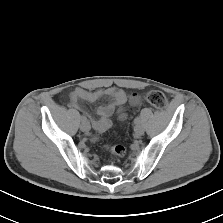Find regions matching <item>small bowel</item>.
I'll list each match as a JSON object with an SVG mask.
<instances>
[{
	"mask_svg": "<svg viewBox=\"0 0 223 223\" xmlns=\"http://www.w3.org/2000/svg\"><path fill=\"white\" fill-rule=\"evenodd\" d=\"M102 98L108 99L109 103L97 108V115L99 116V118L95 119L89 112H87L83 108L82 103L85 101L95 102ZM128 99L134 105L141 104V99L138 95L127 97V95L122 90L115 87L99 89L95 91H87L83 88H77L69 94L70 106L82 111L85 121H87L88 123L90 122L93 129L98 133H102L111 128V116L113 115L117 107L123 105ZM120 117L125 118L126 114L122 113Z\"/></svg>",
	"mask_w": 223,
	"mask_h": 223,
	"instance_id": "small-bowel-1",
	"label": "small bowel"
}]
</instances>
